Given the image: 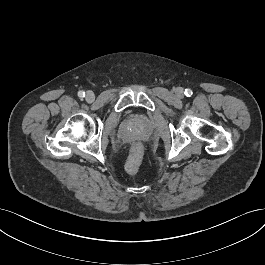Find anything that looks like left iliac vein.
<instances>
[{
  "mask_svg": "<svg viewBox=\"0 0 265 265\" xmlns=\"http://www.w3.org/2000/svg\"><path fill=\"white\" fill-rule=\"evenodd\" d=\"M183 93L184 92H183V89L182 88H177L176 94H177L178 97H180V98L183 97Z\"/></svg>",
  "mask_w": 265,
  "mask_h": 265,
  "instance_id": "obj_1",
  "label": "left iliac vein"
}]
</instances>
